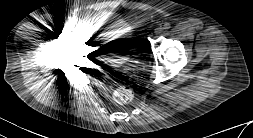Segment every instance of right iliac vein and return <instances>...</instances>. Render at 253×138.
Instances as JSON below:
<instances>
[{
    "label": "right iliac vein",
    "mask_w": 253,
    "mask_h": 138,
    "mask_svg": "<svg viewBox=\"0 0 253 138\" xmlns=\"http://www.w3.org/2000/svg\"><path fill=\"white\" fill-rule=\"evenodd\" d=\"M72 30L75 32V33H78L80 31V28L77 26V25H74L72 27Z\"/></svg>",
    "instance_id": "1"
}]
</instances>
